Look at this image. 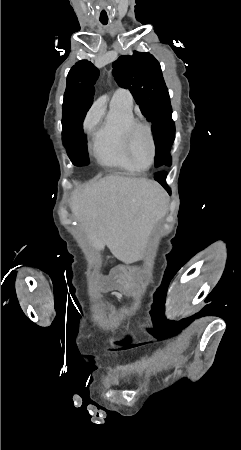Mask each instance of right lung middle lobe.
I'll return each mask as SVG.
<instances>
[{
  "label": "right lung middle lobe",
  "instance_id": "dd1d6c3e",
  "mask_svg": "<svg viewBox=\"0 0 241 450\" xmlns=\"http://www.w3.org/2000/svg\"><path fill=\"white\" fill-rule=\"evenodd\" d=\"M98 75L79 74L67 79V87L63 101V140L67 141V135L73 122L88 111L93 102L94 84ZM76 166H85L89 163L88 152L73 153L68 155Z\"/></svg>",
  "mask_w": 241,
  "mask_h": 450
}]
</instances>
